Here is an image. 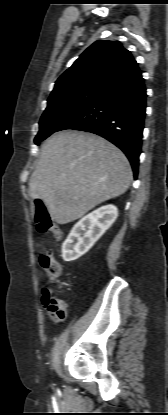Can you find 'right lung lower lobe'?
<instances>
[{
    "label": "right lung lower lobe",
    "mask_w": 168,
    "mask_h": 415,
    "mask_svg": "<svg viewBox=\"0 0 168 415\" xmlns=\"http://www.w3.org/2000/svg\"><path fill=\"white\" fill-rule=\"evenodd\" d=\"M146 88L138 65L65 122V129L91 132L120 148L137 177L146 111Z\"/></svg>",
    "instance_id": "1"
}]
</instances>
